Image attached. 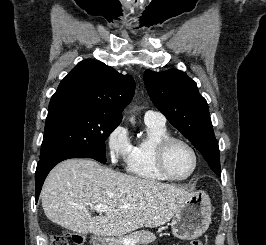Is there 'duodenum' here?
I'll use <instances>...</instances> for the list:
<instances>
[{
	"label": "duodenum",
	"mask_w": 266,
	"mask_h": 245,
	"mask_svg": "<svg viewBox=\"0 0 266 245\" xmlns=\"http://www.w3.org/2000/svg\"><path fill=\"white\" fill-rule=\"evenodd\" d=\"M93 245H108L107 237H96L93 241Z\"/></svg>",
	"instance_id": "1"
}]
</instances>
